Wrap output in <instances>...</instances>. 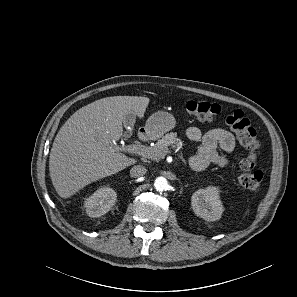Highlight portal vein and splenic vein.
Listing matches in <instances>:
<instances>
[{
    "label": "portal vein and splenic vein",
    "instance_id": "1",
    "mask_svg": "<svg viewBox=\"0 0 297 297\" xmlns=\"http://www.w3.org/2000/svg\"><path fill=\"white\" fill-rule=\"evenodd\" d=\"M125 148L127 151L131 153H136L144 157H150L153 155V152L151 151V147H147L141 144L128 145ZM117 149L119 148L117 147Z\"/></svg>",
    "mask_w": 297,
    "mask_h": 297
}]
</instances>
